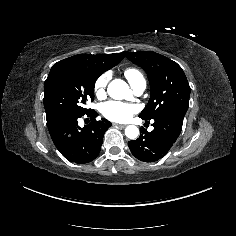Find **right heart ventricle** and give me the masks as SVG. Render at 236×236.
Returning a JSON list of instances; mask_svg holds the SVG:
<instances>
[{"label":"right heart ventricle","mask_w":236,"mask_h":236,"mask_svg":"<svg viewBox=\"0 0 236 236\" xmlns=\"http://www.w3.org/2000/svg\"><path fill=\"white\" fill-rule=\"evenodd\" d=\"M125 76L131 84L137 81L138 79L143 78L142 74L137 69H134V68L127 69L125 71Z\"/></svg>","instance_id":"obj_1"}]
</instances>
